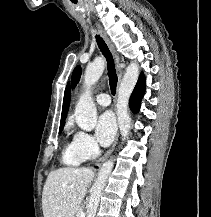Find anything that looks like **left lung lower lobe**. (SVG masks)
<instances>
[{"mask_svg": "<svg viewBox=\"0 0 211 217\" xmlns=\"http://www.w3.org/2000/svg\"><path fill=\"white\" fill-rule=\"evenodd\" d=\"M145 87H146V80L142 73L130 97L129 106L134 113H137L140 109L141 100L145 92Z\"/></svg>", "mask_w": 211, "mask_h": 217, "instance_id": "1", "label": "left lung lower lobe"}]
</instances>
